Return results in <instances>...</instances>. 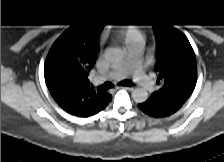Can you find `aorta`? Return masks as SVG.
Masks as SVG:
<instances>
[{
	"label": "aorta",
	"mask_w": 224,
	"mask_h": 162,
	"mask_svg": "<svg viewBox=\"0 0 224 162\" xmlns=\"http://www.w3.org/2000/svg\"><path fill=\"white\" fill-rule=\"evenodd\" d=\"M124 53L121 49H113L106 53V59L110 64H118L122 61ZM132 98L136 103H144L148 99V92L144 88L132 90Z\"/></svg>",
	"instance_id": "1"
}]
</instances>
